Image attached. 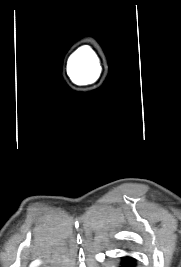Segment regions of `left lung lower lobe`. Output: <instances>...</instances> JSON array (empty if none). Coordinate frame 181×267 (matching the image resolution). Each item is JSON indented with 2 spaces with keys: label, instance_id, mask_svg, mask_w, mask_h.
<instances>
[{
  "label": "left lung lower lobe",
  "instance_id": "left-lung-lower-lobe-1",
  "mask_svg": "<svg viewBox=\"0 0 181 267\" xmlns=\"http://www.w3.org/2000/svg\"><path fill=\"white\" fill-rule=\"evenodd\" d=\"M123 267H134L135 266V260L131 257H124L123 258V263H122Z\"/></svg>",
  "mask_w": 181,
  "mask_h": 267
}]
</instances>
